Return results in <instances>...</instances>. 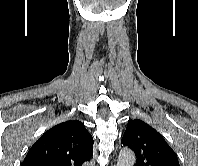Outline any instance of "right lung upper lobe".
Listing matches in <instances>:
<instances>
[{
	"instance_id": "right-lung-upper-lobe-1",
	"label": "right lung upper lobe",
	"mask_w": 198,
	"mask_h": 166,
	"mask_svg": "<svg viewBox=\"0 0 198 166\" xmlns=\"http://www.w3.org/2000/svg\"><path fill=\"white\" fill-rule=\"evenodd\" d=\"M93 137L78 120L60 123L37 140L22 166H82L93 155Z\"/></svg>"
}]
</instances>
